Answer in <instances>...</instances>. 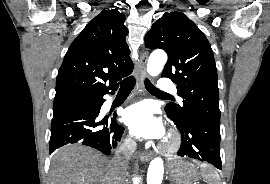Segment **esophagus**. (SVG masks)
<instances>
[{"instance_id": "obj_1", "label": "esophagus", "mask_w": 270, "mask_h": 184, "mask_svg": "<svg viewBox=\"0 0 270 184\" xmlns=\"http://www.w3.org/2000/svg\"><path fill=\"white\" fill-rule=\"evenodd\" d=\"M147 60H148V51L144 49L141 53L140 62H139L138 68H137L140 91L143 90V82L147 76V74H146ZM151 158H152V153L147 152V151L143 152L141 157H140L142 162H148L149 160H151Z\"/></svg>"}]
</instances>
